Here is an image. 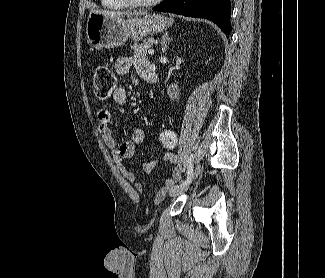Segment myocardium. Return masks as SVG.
I'll list each match as a JSON object with an SVG mask.
<instances>
[{
    "label": "myocardium",
    "mask_w": 325,
    "mask_h": 278,
    "mask_svg": "<svg viewBox=\"0 0 325 278\" xmlns=\"http://www.w3.org/2000/svg\"><path fill=\"white\" fill-rule=\"evenodd\" d=\"M130 7H149L159 3L161 0H121Z\"/></svg>",
    "instance_id": "obj_1"
}]
</instances>
